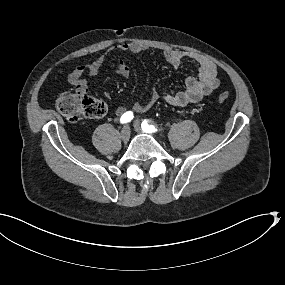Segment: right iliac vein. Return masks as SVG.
<instances>
[{"label":"right iliac vein","instance_id":"1","mask_svg":"<svg viewBox=\"0 0 285 285\" xmlns=\"http://www.w3.org/2000/svg\"><path fill=\"white\" fill-rule=\"evenodd\" d=\"M131 130L128 126H124V128L121 130V139L124 142H127L130 139Z\"/></svg>","mask_w":285,"mask_h":285}]
</instances>
